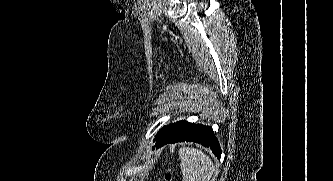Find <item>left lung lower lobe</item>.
I'll use <instances>...</instances> for the list:
<instances>
[{"label": "left lung lower lobe", "mask_w": 333, "mask_h": 181, "mask_svg": "<svg viewBox=\"0 0 333 181\" xmlns=\"http://www.w3.org/2000/svg\"><path fill=\"white\" fill-rule=\"evenodd\" d=\"M196 142L205 147H209L220 159L221 148L211 127L202 124H190L181 134L169 142L156 140V148H160L167 143Z\"/></svg>", "instance_id": "0a47b994"}]
</instances>
